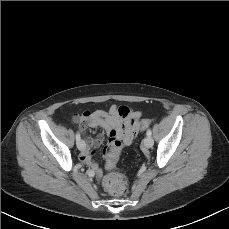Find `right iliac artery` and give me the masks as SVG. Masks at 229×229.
Here are the masks:
<instances>
[{"instance_id":"right-iliac-artery-1","label":"right iliac artery","mask_w":229,"mask_h":229,"mask_svg":"<svg viewBox=\"0 0 229 229\" xmlns=\"http://www.w3.org/2000/svg\"><path fill=\"white\" fill-rule=\"evenodd\" d=\"M80 141V134L79 132L76 133V142L78 143Z\"/></svg>"}]
</instances>
